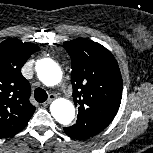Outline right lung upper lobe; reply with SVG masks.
Returning <instances> with one entry per match:
<instances>
[{"label":"right lung upper lobe","mask_w":153,"mask_h":153,"mask_svg":"<svg viewBox=\"0 0 153 153\" xmlns=\"http://www.w3.org/2000/svg\"><path fill=\"white\" fill-rule=\"evenodd\" d=\"M39 47L11 38L0 43V137L20 132L32 117L30 84L21 68Z\"/></svg>","instance_id":"1"}]
</instances>
